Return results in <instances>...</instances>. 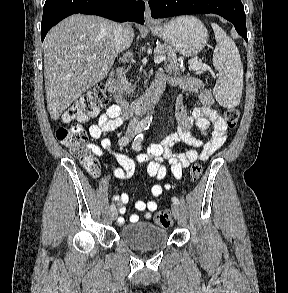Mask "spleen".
Instances as JSON below:
<instances>
[{"mask_svg":"<svg viewBox=\"0 0 288 293\" xmlns=\"http://www.w3.org/2000/svg\"><path fill=\"white\" fill-rule=\"evenodd\" d=\"M217 45L213 53V65L219 78L213 89L217 102L233 108L240 103L243 89V66L234 41L217 24L211 23Z\"/></svg>","mask_w":288,"mask_h":293,"instance_id":"obj_1","label":"spleen"}]
</instances>
